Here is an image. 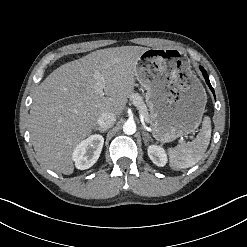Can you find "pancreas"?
Returning <instances> with one entry per match:
<instances>
[{
    "label": "pancreas",
    "instance_id": "obj_1",
    "mask_svg": "<svg viewBox=\"0 0 247 247\" xmlns=\"http://www.w3.org/2000/svg\"><path fill=\"white\" fill-rule=\"evenodd\" d=\"M130 99L132 103L138 108L139 112L143 115V118L146 122L150 121V117L148 114V109L146 105L144 104L143 98L135 93L130 96Z\"/></svg>",
    "mask_w": 247,
    "mask_h": 247
}]
</instances>
